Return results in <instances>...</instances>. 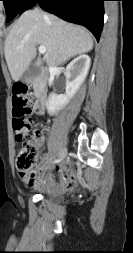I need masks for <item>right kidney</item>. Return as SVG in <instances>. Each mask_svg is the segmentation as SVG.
<instances>
[{
	"instance_id": "right-kidney-1",
	"label": "right kidney",
	"mask_w": 133,
	"mask_h": 253,
	"mask_svg": "<svg viewBox=\"0 0 133 253\" xmlns=\"http://www.w3.org/2000/svg\"><path fill=\"white\" fill-rule=\"evenodd\" d=\"M91 59L88 55H80L66 67V91L64 95L50 94L47 101L49 114H56L75 95L84 82L90 68Z\"/></svg>"
}]
</instances>
